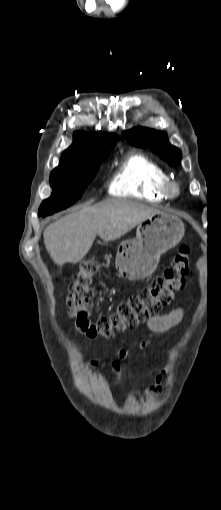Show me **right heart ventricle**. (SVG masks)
<instances>
[{
  "label": "right heart ventricle",
  "instance_id": "e07e8e85",
  "mask_svg": "<svg viewBox=\"0 0 221 510\" xmlns=\"http://www.w3.org/2000/svg\"><path fill=\"white\" fill-rule=\"evenodd\" d=\"M169 180L164 168L148 156L135 152L120 164L109 185V194L160 203L167 197L162 187Z\"/></svg>",
  "mask_w": 221,
  "mask_h": 510
}]
</instances>
